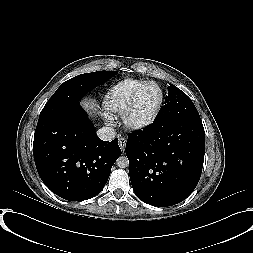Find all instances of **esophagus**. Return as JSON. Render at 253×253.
Returning <instances> with one entry per match:
<instances>
[{
  "label": "esophagus",
  "mask_w": 253,
  "mask_h": 253,
  "mask_svg": "<svg viewBox=\"0 0 253 253\" xmlns=\"http://www.w3.org/2000/svg\"><path fill=\"white\" fill-rule=\"evenodd\" d=\"M118 139H119V147H120L121 151L124 152L125 147H126V138L119 136Z\"/></svg>",
  "instance_id": "1"
}]
</instances>
